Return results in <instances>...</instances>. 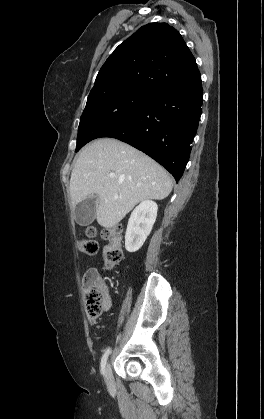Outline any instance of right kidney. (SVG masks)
I'll return each mask as SVG.
<instances>
[{
    "instance_id": "1",
    "label": "right kidney",
    "mask_w": 264,
    "mask_h": 419,
    "mask_svg": "<svg viewBox=\"0 0 264 419\" xmlns=\"http://www.w3.org/2000/svg\"><path fill=\"white\" fill-rule=\"evenodd\" d=\"M158 206L154 201H142L131 213L125 234V248L136 252L150 234L157 217Z\"/></svg>"
}]
</instances>
